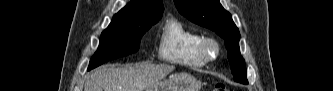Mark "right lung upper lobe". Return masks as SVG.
I'll return each mask as SVG.
<instances>
[{
	"label": "right lung upper lobe",
	"mask_w": 333,
	"mask_h": 91,
	"mask_svg": "<svg viewBox=\"0 0 333 91\" xmlns=\"http://www.w3.org/2000/svg\"><path fill=\"white\" fill-rule=\"evenodd\" d=\"M162 13V0H133L113 16L111 23L161 18Z\"/></svg>",
	"instance_id": "cb5924a9"
}]
</instances>
